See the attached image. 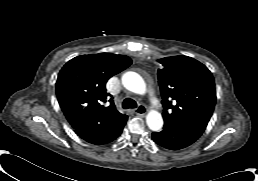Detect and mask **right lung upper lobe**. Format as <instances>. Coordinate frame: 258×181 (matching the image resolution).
I'll return each mask as SVG.
<instances>
[{
  "label": "right lung upper lobe",
  "mask_w": 258,
  "mask_h": 181,
  "mask_svg": "<svg viewBox=\"0 0 258 181\" xmlns=\"http://www.w3.org/2000/svg\"><path fill=\"white\" fill-rule=\"evenodd\" d=\"M131 63L125 55L99 53L75 57L64 65L56 82V94L64 115L75 130L126 116L116 110L105 85L110 77Z\"/></svg>",
  "instance_id": "obj_1"
}]
</instances>
